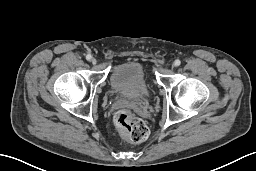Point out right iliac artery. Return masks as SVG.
Here are the masks:
<instances>
[{
	"label": "right iliac artery",
	"mask_w": 256,
	"mask_h": 171,
	"mask_svg": "<svg viewBox=\"0 0 256 171\" xmlns=\"http://www.w3.org/2000/svg\"><path fill=\"white\" fill-rule=\"evenodd\" d=\"M86 59H87L88 61H90V60L92 59V56H91L90 54H88V55L86 56Z\"/></svg>",
	"instance_id": "right-iliac-artery-1"
}]
</instances>
